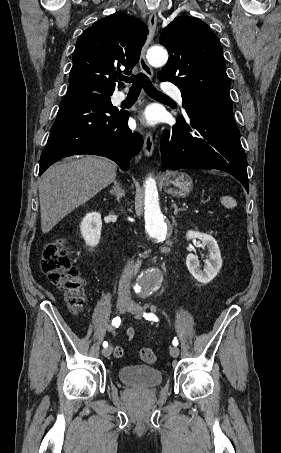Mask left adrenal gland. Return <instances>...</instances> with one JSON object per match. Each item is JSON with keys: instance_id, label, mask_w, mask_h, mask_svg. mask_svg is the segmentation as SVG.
Instances as JSON below:
<instances>
[{"instance_id": "1", "label": "left adrenal gland", "mask_w": 281, "mask_h": 453, "mask_svg": "<svg viewBox=\"0 0 281 453\" xmlns=\"http://www.w3.org/2000/svg\"><path fill=\"white\" fill-rule=\"evenodd\" d=\"M172 206H174V214H178L179 210H181V208H178L177 204H175V202H173Z\"/></svg>"}]
</instances>
